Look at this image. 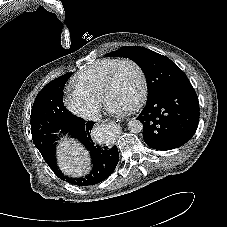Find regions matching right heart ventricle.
I'll list each match as a JSON object with an SVG mask.
<instances>
[{"label": "right heart ventricle", "mask_w": 227, "mask_h": 227, "mask_svg": "<svg viewBox=\"0 0 227 227\" xmlns=\"http://www.w3.org/2000/svg\"><path fill=\"white\" fill-rule=\"evenodd\" d=\"M119 60L118 58H105L85 67L71 80L74 90L101 97L104 81Z\"/></svg>", "instance_id": "1"}]
</instances>
